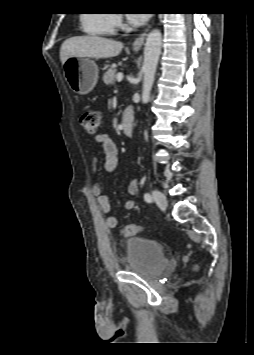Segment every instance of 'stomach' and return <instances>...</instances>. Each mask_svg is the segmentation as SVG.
Returning a JSON list of instances; mask_svg holds the SVG:
<instances>
[{
  "instance_id": "0dacf381",
  "label": "stomach",
  "mask_w": 254,
  "mask_h": 355,
  "mask_svg": "<svg viewBox=\"0 0 254 355\" xmlns=\"http://www.w3.org/2000/svg\"><path fill=\"white\" fill-rule=\"evenodd\" d=\"M64 74L71 89L78 94H88L98 79V66L88 57H71L65 61Z\"/></svg>"
}]
</instances>
